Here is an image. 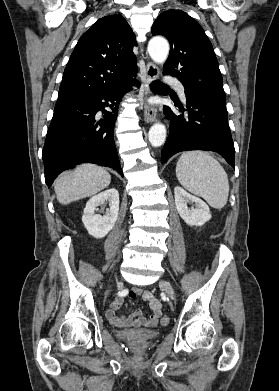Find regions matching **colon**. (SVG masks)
Wrapping results in <instances>:
<instances>
[{
  "label": "colon",
  "instance_id": "obj_1",
  "mask_svg": "<svg viewBox=\"0 0 279 391\" xmlns=\"http://www.w3.org/2000/svg\"><path fill=\"white\" fill-rule=\"evenodd\" d=\"M169 322V319L167 316H163L161 318V324L166 325Z\"/></svg>",
  "mask_w": 279,
  "mask_h": 391
}]
</instances>
